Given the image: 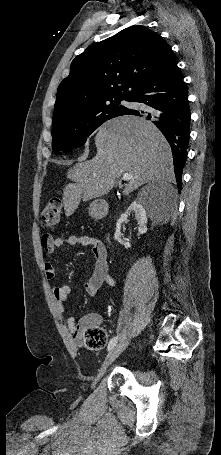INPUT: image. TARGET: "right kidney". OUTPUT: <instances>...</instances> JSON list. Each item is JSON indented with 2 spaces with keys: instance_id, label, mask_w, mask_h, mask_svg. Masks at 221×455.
I'll return each mask as SVG.
<instances>
[{
  "instance_id": "1",
  "label": "right kidney",
  "mask_w": 221,
  "mask_h": 455,
  "mask_svg": "<svg viewBox=\"0 0 221 455\" xmlns=\"http://www.w3.org/2000/svg\"><path fill=\"white\" fill-rule=\"evenodd\" d=\"M131 213L135 214V218L138 223V231L140 234H144L147 232V216H146V211L144 207L138 202L134 201L130 204V206L127 208L126 212L120 216V218L117 220L116 224V231L114 238L117 242L120 244H124L125 248L128 249L131 247L129 243H124L123 240L121 239V225L128 219Z\"/></svg>"
}]
</instances>
